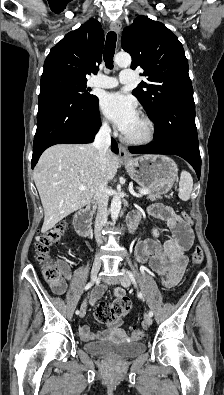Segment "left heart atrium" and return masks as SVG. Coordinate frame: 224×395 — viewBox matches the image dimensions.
Listing matches in <instances>:
<instances>
[{
	"label": "left heart atrium",
	"mask_w": 224,
	"mask_h": 395,
	"mask_svg": "<svg viewBox=\"0 0 224 395\" xmlns=\"http://www.w3.org/2000/svg\"><path fill=\"white\" fill-rule=\"evenodd\" d=\"M100 108L115 127L124 134L138 118L135 101L120 92L104 94L100 100Z\"/></svg>",
	"instance_id": "obj_1"
}]
</instances>
